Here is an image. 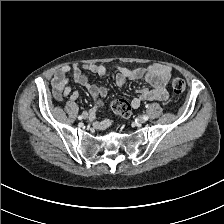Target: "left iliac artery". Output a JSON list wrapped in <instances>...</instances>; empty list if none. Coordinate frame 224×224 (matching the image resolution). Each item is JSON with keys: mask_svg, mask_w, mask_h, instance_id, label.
<instances>
[{"mask_svg": "<svg viewBox=\"0 0 224 224\" xmlns=\"http://www.w3.org/2000/svg\"><path fill=\"white\" fill-rule=\"evenodd\" d=\"M143 118H144L145 120H148V116H147V115H143Z\"/></svg>", "mask_w": 224, "mask_h": 224, "instance_id": "44dca946", "label": "left iliac artery"}]
</instances>
